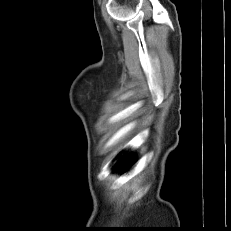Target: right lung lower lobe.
Here are the masks:
<instances>
[{"label":"right lung lower lobe","mask_w":231,"mask_h":231,"mask_svg":"<svg viewBox=\"0 0 231 231\" xmlns=\"http://www.w3.org/2000/svg\"><path fill=\"white\" fill-rule=\"evenodd\" d=\"M128 158H129V156H125V157L121 158V159L118 161V163H117V165H116V168H119V167L122 166L125 162H127Z\"/></svg>","instance_id":"98d812e1"}]
</instances>
